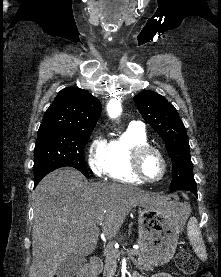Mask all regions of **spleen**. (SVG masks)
I'll list each match as a JSON object with an SVG mask.
<instances>
[{
	"label": "spleen",
	"mask_w": 221,
	"mask_h": 277,
	"mask_svg": "<svg viewBox=\"0 0 221 277\" xmlns=\"http://www.w3.org/2000/svg\"><path fill=\"white\" fill-rule=\"evenodd\" d=\"M188 214L190 208L187 206ZM187 235L196 255L202 260H207L206 246L196 218H191L187 225Z\"/></svg>",
	"instance_id": "3e777b00"
}]
</instances>
